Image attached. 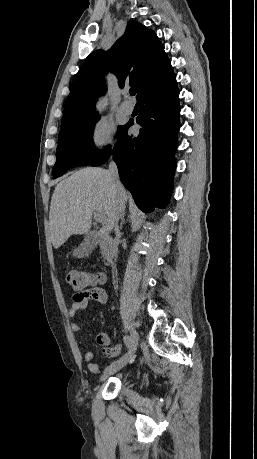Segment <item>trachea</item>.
I'll list each match as a JSON object with an SVG mask.
<instances>
[{
  "instance_id": "1",
  "label": "trachea",
  "mask_w": 257,
  "mask_h": 459,
  "mask_svg": "<svg viewBox=\"0 0 257 459\" xmlns=\"http://www.w3.org/2000/svg\"><path fill=\"white\" fill-rule=\"evenodd\" d=\"M129 93H130V95L134 96L136 94V91H135V89H130Z\"/></svg>"
}]
</instances>
